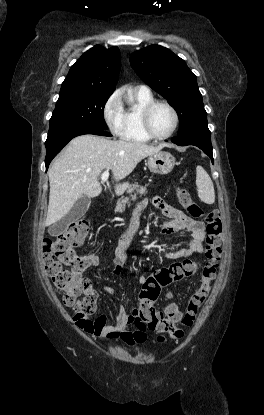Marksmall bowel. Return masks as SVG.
Segmentation results:
<instances>
[{
  "mask_svg": "<svg viewBox=\"0 0 264 415\" xmlns=\"http://www.w3.org/2000/svg\"><path fill=\"white\" fill-rule=\"evenodd\" d=\"M152 203L157 207L164 216L169 220L162 224V234L165 237H172L182 230L188 233V244L186 247L169 250L166 252V257L169 259L188 258L203 252V242L205 238V226L201 221L193 220L187 217L182 211L165 204L158 196L152 198ZM142 209H138L134 216L130 219L124 237L116 249L114 264L108 275L111 277L119 276L128 260V251L132 244V238L136 228L133 226V218H138L140 221ZM151 277L142 275L139 277V284L144 283ZM111 295H115V290L111 287L107 288ZM138 309H135L132 314H128L124 307L121 306L114 324H107V315L100 314L94 321L92 329H86L88 332L97 336L106 338H121L128 344L141 343L145 340V332H140L132 328ZM140 335L141 340H136L135 336Z\"/></svg>",
  "mask_w": 264,
  "mask_h": 415,
  "instance_id": "c3829d8e",
  "label": "small bowel"
}]
</instances>
